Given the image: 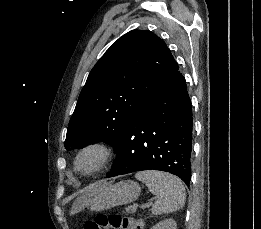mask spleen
<instances>
[{"instance_id": "1", "label": "spleen", "mask_w": 261, "mask_h": 229, "mask_svg": "<svg viewBox=\"0 0 261 229\" xmlns=\"http://www.w3.org/2000/svg\"><path fill=\"white\" fill-rule=\"evenodd\" d=\"M137 181L144 183L152 195H156L152 215H163L179 211L185 205V187L178 177L164 171H139Z\"/></svg>"}]
</instances>
